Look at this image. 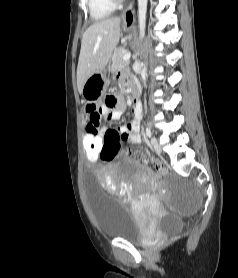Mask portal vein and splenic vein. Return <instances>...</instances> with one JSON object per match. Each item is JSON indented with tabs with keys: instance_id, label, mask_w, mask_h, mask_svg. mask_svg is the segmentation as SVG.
<instances>
[{
	"instance_id": "portal-vein-and-splenic-vein-1",
	"label": "portal vein and splenic vein",
	"mask_w": 238,
	"mask_h": 278,
	"mask_svg": "<svg viewBox=\"0 0 238 278\" xmlns=\"http://www.w3.org/2000/svg\"><path fill=\"white\" fill-rule=\"evenodd\" d=\"M130 57H131V53H130V52H127V53H125V55L123 56V60H124V61H128V60L130 59Z\"/></svg>"
}]
</instances>
